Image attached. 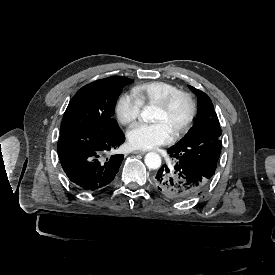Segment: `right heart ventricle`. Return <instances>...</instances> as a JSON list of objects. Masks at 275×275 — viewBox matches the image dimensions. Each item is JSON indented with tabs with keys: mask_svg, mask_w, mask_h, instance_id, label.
I'll use <instances>...</instances> for the list:
<instances>
[{
	"mask_svg": "<svg viewBox=\"0 0 275 275\" xmlns=\"http://www.w3.org/2000/svg\"><path fill=\"white\" fill-rule=\"evenodd\" d=\"M177 88L166 81L150 80L134 87L133 93L143 104H156L168 94L176 91Z\"/></svg>",
	"mask_w": 275,
	"mask_h": 275,
	"instance_id": "obj_1",
	"label": "right heart ventricle"
}]
</instances>
